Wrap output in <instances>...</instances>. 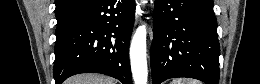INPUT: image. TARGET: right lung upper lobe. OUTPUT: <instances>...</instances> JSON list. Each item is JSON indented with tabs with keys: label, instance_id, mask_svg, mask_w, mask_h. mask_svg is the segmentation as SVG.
<instances>
[{
	"label": "right lung upper lobe",
	"instance_id": "cb5924a9",
	"mask_svg": "<svg viewBox=\"0 0 260 84\" xmlns=\"http://www.w3.org/2000/svg\"><path fill=\"white\" fill-rule=\"evenodd\" d=\"M93 1L94 0H56L55 11L58 25L89 6Z\"/></svg>",
	"mask_w": 260,
	"mask_h": 84
}]
</instances>
